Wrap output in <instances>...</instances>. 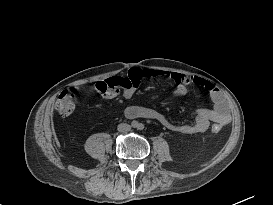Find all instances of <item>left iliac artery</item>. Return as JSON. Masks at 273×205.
<instances>
[{
	"mask_svg": "<svg viewBox=\"0 0 273 205\" xmlns=\"http://www.w3.org/2000/svg\"><path fill=\"white\" fill-rule=\"evenodd\" d=\"M139 128H140V129H143V128H144V126H143V125H140V126H139Z\"/></svg>",
	"mask_w": 273,
	"mask_h": 205,
	"instance_id": "left-iliac-artery-1",
	"label": "left iliac artery"
}]
</instances>
